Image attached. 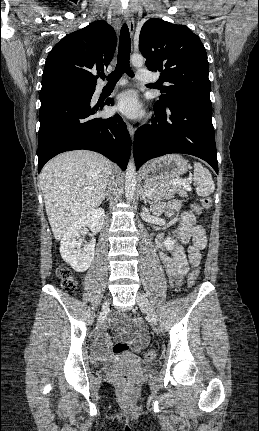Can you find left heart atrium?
<instances>
[{"label": "left heart atrium", "instance_id": "1", "mask_svg": "<svg viewBox=\"0 0 259 431\" xmlns=\"http://www.w3.org/2000/svg\"><path fill=\"white\" fill-rule=\"evenodd\" d=\"M115 109L130 118H138L144 113L138 95L133 90L125 91L117 97Z\"/></svg>", "mask_w": 259, "mask_h": 431}]
</instances>
